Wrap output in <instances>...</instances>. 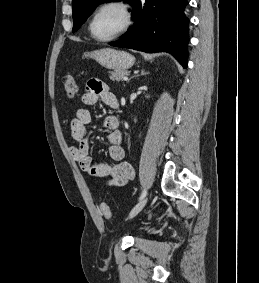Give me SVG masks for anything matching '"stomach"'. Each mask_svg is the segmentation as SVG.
<instances>
[{
  "mask_svg": "<svg viewBox=\"0 0 259 283\" xmlns=\"http://www.w3.org/2000/svg\"><path fill=\"white\" fill-rule=\"evenodd\" d=\"M107 69L126 70L135 63V58L126 51L104 48L85 53Z\"/></svg>",
  "mask_w": 259,
  "mask_h": 283,
  "instance_id": "obj_1",
  "label": "stomach"
}]
</instances>
